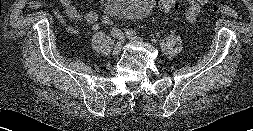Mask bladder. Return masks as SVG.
Wrapping results in <instances>:
<instances>
[{
	"label": "bladder",
	"instance_id": "1",
	"mask_svg": "<svg viewBox=\"0 0 253 131\" xmlns=\"http://www.w3.org/2000/svg\"><path fill=\"white\" fill-rule=\"evenodd\" d=\"M148 10V0H111L107 15L111 18H133L143 15Z\"/></svg>",
	"mask_w": 253,
	"mask_h": 131
}]
</instances>
